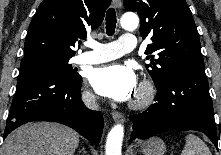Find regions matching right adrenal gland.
Listing matches in <instances>:
<instances>
[{
    "label": "right adrenal gland",
    "mask_w": 221,
    "mask_h": 155,
    "mask_svg": "<svg viewBox=\"0 0 221 155\" xmlns=\"http://www.w3.org/2000/svg\"><path fill=\"white\" fill-rule=\"evenodd\" d=\"M80 152H83L85 155H87V152H86V150H85L84 147H82L81 149H79V153H80Z\"/></svg>",
    "instance_id": "2a0ac1e0"
}]
</instances>
